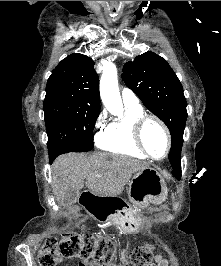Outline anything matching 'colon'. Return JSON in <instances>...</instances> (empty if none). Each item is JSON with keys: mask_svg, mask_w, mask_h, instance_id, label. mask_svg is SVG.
I'll return each mask as SVG.
<instances>
[{"mask_svg": "<svg viewBox=\"0 0 221 266\" xmlns=\"http://www.w3.org/2000/svg\"><path fill=\"white\" fill-rule=\"evenodd\" d=\"M115 245L109 237L97 238L91 234L67 232L58 240L44 241L40 266H59L64 258H80L83 261L100 262L102 266H118L115 263ZM152 247L149 244L135 248L130 255L131 266H151Z\"/></svg>", "mask_w": 221, "mask_h": 266, "instance_id": "obj_1", "label": "colon"}]
</instances>
